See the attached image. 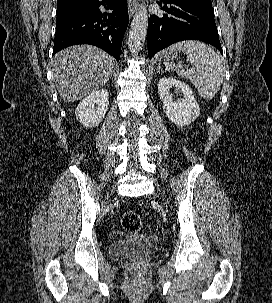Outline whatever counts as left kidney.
<instances>
[{"label": "left kidney", "instance_id": "1", "mask_svg": "<svg viewBox=\"0 0 272 303\" xmlns=\"http://www.w3.org/2000/svg\"><path fill=\"white\" fill-rule=\"evenodd\" d=\"M171 88L179 90L184 99L175 102L170 93ZM158 93L163 102L164 113L176 126H187L199 117V105L191 88L186 83L172 77H162L158 82Z\"/></svg>", "mask_w": 272, "mask_h": 303}]
</instances>
